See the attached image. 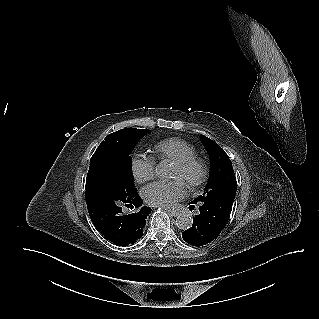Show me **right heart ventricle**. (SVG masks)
<instances>
[{
    "label": "right heart ventricle",
    "instance_id": "obj_1",
    "mask_svg": "<svg viewBox=\"0 0 319 319\" xmlns=\"http://www.w3.org/2000/svg\"><path fill=\"white\" fill-rule=\"evenodd\" d=\"M154 154L160 160H169L175 164L196 156V150L184 139L170 138L157 143L154 146Z\"/></svg>",
    "mask_w": 319,
    "mask_h": 319
}]
</instances>
